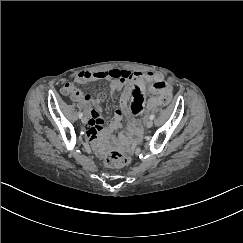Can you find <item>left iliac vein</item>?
I'll return each mask as SVG.
<instances>
[{
    "label": "left iliac vein",
    "mask_w": 243,
    "mask_h": 243,
    "mask_svg": "<svg viewBox=\"0 0 243 243\" xmlns=\"http://www.w3.org/2000/svg\"><path fill=\"white\" fill-rule=\"evenodd\" d=\"M145 125H146L147 128H151L153 126V121L147 120Z\"/></svg>",
    "instance_id": "4c4485c4"
}]
</instances>
